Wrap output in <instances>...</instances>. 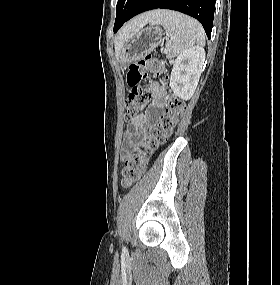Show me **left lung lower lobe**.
Segmentation results:
<instances>
[{"label":"left lung lower lobe","mask_w":280,"mask_h":285,"mask_svg":"<svg viewBox=\"0 0 280 285\" xmlns=\"http://www.w3.org/2000/svg\"><path fill=\"white\" fill-rule=\"evenodd\" d=\"M157 8L176 10L196 18L203 25L208 38H210L215 0H138L128 20L139 13ZM120 27L116 28L114 32H117Z\"/></svg>","instance_id":"obj_1"}]
</instances>
